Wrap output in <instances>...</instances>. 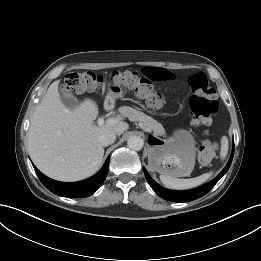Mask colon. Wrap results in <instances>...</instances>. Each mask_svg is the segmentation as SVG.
<instances>
[{"mask_svg":"<svg viewBox=\"0 0 261 261\" xmlns=\"http://www.w3.org/2000/svg\"><path fill=\"white\" fill-rule=\"evenodd\" d=\"M111 81L135 92L139 97L145 99L151 108H158L163 103V98L153 91L148 79L141 77L136 72H114ZM103 84L104 79L93 72H73L66 77L62 90L68 95L82 94L94 91ZM188 84L192 93L189 105L194 125H210L218 109L214 86L202 72L191 75ZM215 153V143L205 141L198 149V161L207 164L214 158Z\"/></svg>","mask_w":261,"mask_h":261,"instance_id":"colon-1","label":"colon"}]
</instances>
